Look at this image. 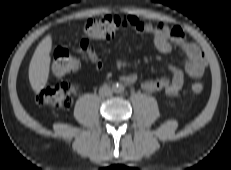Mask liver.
<instances>
[{
    "label": "liver",
    "mask_w": 231,
    "mask_h": 170,
    "mask_svg": "<svg viewBox=\"0 0 231 170\" xmlns=\"http://www.w3.org/2000/svg\"><path fill=\"white\" fill-rule=\"evenodd\" d=\"M51 35H47L37 46L29 65V82L39 93L47 84L50 69Z\"/></svg>",
    "instance_id": "6515ba94"
}]
</instances>
